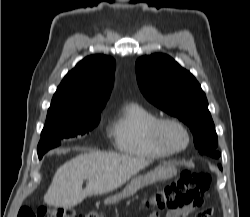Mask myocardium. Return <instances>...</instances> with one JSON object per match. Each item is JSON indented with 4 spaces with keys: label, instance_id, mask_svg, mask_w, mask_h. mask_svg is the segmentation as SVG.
Segmentation results:
<instances>
[{
    "label": "myocardium",
    "instance_id": "myocardium-1",
    "mask_svg": "<svg viewBox=\"0 0 250 217\" xmlns=\"http://www.w3.org/2000/svg\"><path fill=\"white\" fill-rule=\"evenodd\" d=\"M168 127L176 128L184 135L185 143L182 146H174L166 139L165 131ZM151 135L158 146L171 154L184 151L190 144V133L187 127L181 121L171 117L157 118L151 126Z\"/></svg>",
    "mask_w": 250,
    "mask_h": 217
}]
</instances>
